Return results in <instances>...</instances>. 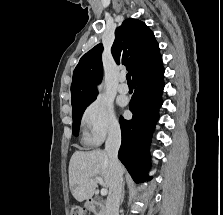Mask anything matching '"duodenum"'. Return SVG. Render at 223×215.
Returning <instances> with one entry per match:
<instances>
[{
    "mask_svg": "<svg viewBox=\"0 0 223 215\" xmlns=\"http://www.w3.org/2000/svg\"><path fill=\"white\" fill-rule=\"evenodd\" d=\"M86 208L92 215H105L104 205L101 200L88 198L86 201Z\"/></svg>",
    "mask_w": 223,
    "mask_h": 215,
    "instance_id": "410a0bca",
    "label": "duodenum"
}]
</instances>
